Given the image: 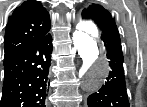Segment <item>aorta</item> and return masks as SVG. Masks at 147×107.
I'll return each mask as SVG.
<instances>
[{
  "instance_id": "762f6f07",
  "label": "aorta",
  "mask_w": 147,
  "mask_h": 107,
  "mask_svg": "<svg viewBox=\"0 0 147 107\" xmlns=\"http://www.w3.org/2000/svg\"><path fill=\"white\" fill-rule=\"evenodd\" d=\"M73 44L83 65L79 75L83 88L88 91L98 90L108 77L109 67L104 54L98 47V31L93 24L81 23L73 33Z\"/></svg>"
}]
</instances>
